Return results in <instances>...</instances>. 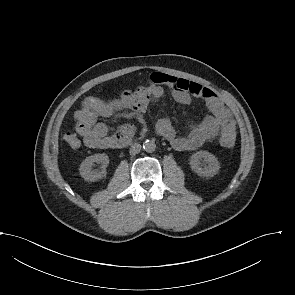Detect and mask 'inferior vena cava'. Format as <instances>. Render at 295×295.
Segmentation results:
<instances>
[{
  "instance_id": "602c4592",
  "label": "inferior vena cava",
  "mask_w": 295,
  "mask_h": 295,
  "mask_svg": "<svg viewBox=\"0 0 295 295\" xmlns=\"http://www.w3.org/2000/svg\"><path fill=\"white\" fill-rule=\"evenodd\" d=\"M141 150V145L140 144H133L130 148V154L131 155H135V154H138Z\"/></svg>"
}]
</instances>
